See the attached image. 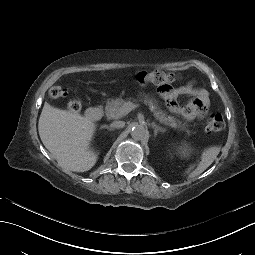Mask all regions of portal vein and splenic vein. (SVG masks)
Masks as SVG:
<instances>
[{"mask_svg":"<svg viewBox=\"0 0 255 255\" xmlns=\"http://www.w3.org/2000/svg\"><path fill=\"white\" fill-rule=\"evenodd\" d=\"M138 108V103H132L130 100H127L125 104L123 105V112L125 114H128L132 111V109Z\"/></svg>","mask_w":255,"mask_h":255,"instance_id":"obj_1","label":"portal vein and splenic vein"}]
</instances>
